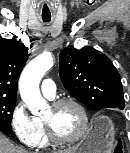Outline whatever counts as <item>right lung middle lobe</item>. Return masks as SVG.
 Segmentation results:
<instances>
[{
    "label": "right lung middle lobe",
    "mask_w": 130,
    "mask_h": 153,
    "mask_svg": "<svg viewBox=\"0 0 130 153\" xmlns=\"http://www.w3.org/2000/svg\"><path fill=\"white\" fill-rule=\"evenodd\" d=\"M16 99L0 97V131L12 133L11 121Z\"/></svg>",
    "instance_id": "obj_1"
}]
</instances>
